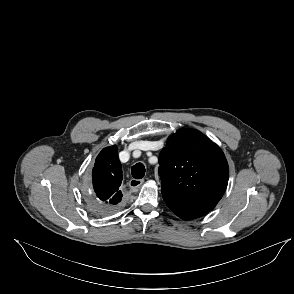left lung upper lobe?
<instances>
[{"label":"left lung upper lobe","instance_id":"obj_1","mask_svg":"<svg viewBox=\"0 0 294 294\" xmlns=\"http://www.w3.org/2000/svg\"><path fill=\"white\" fill-rule=\"evenodd\" d=\"M159 164L163 199L182 219L208 213L226 190L227 160L219 146L197 130L172 135L160 152Z\"/></svg>","mask_w":294,"mask_h":294}]
</instances>
